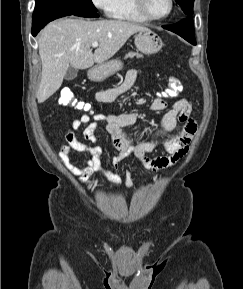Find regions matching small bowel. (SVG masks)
Segmentation results:
<instances>
[{
  "mask_svg": "<svg viewBox=\"0 0 243 289\" xmlns=\"http://www.w3.org/2000/svg\"><path fill=\"white\" fill-rule=\"evenodd\" d=\"M141 72L137 69L129 70L123 81L116 87L98 91L95 94V101L98 104H107L115 101L125 93L137 80ZM149 110L161 112L167 108V102L163 97H156L149 105ZM192 106L188 99H178L160 120L157 128L148 140L132 142L125 131L132 126L138 117L137 112L122 114L95 113L82 114L71 122L63 137L67 144L61 146L59 156L70 172L78 175L79 181L83 184L89 183V178L96 172L105 174L113 187L121 184V177L117 173L104 169L102 165L103 151L98 144L95 132L99 123L104 124L113 147L117 153L112 157V166L117 169L120 162L128 156H134L142 166L151 171L158 172L177 165L187 154L190 142L197 131V125L192 118ZM91 118L94 121H91ZM181 123V132L172 138H166L168 132L172 131L177 123ZM74 130H82L84 138L90 143L85 145L77 141ZM165 152L164 156L151 157L150 154L156 150ZM71 151L88 153L90 159L82 161L81 166H76L70 158ZM127 186L131 187V174H126Z\"/></svg>",
  "mask_w": 243,
  "mask_h": 289,
  "instance_id": "obj_1",
  "label": "small bowel"
}]
</instances>
